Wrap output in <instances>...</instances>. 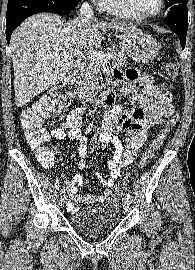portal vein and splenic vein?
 Here are the masks:
<instances>
[{
  "instance_id": "obj_1",
  "label": "portal vein and splenic vein",
  "mask_w": 195,
  "mask_h": 270,
  "mask_svg": "<svg viewBox=\"0 0 195 270\" xmlns=\"http://www.w3.org/2000/svg\"><path fill=\"white\" fill-rule=\"evenodd\" d=\"M87 58L90 60H101V61H107L113 57L112 53L110 52H100L96 50H89L86 52Z\"/></svg>"
}]
</instances>
